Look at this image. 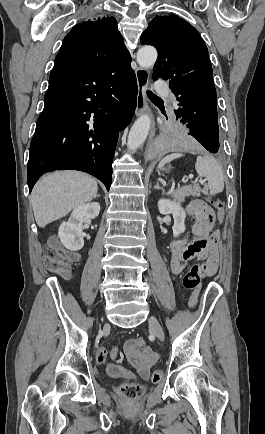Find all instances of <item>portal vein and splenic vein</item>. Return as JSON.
Segmentation results:
<instances>
[{"label":"portal vein and splenic vein","instance_id":"obj_1","mask_svg":"<svg viewBox=\"0 0 265 434\" xmlns=\"http://www.w3.org/2000/svg\"><path fill=\"white\" fill-rule=\"evenodd\" d=\"M189 178L192 180V178H194L193 174H190ZM195 182H201V184H204L205 180H195Z\"/></svg>","mask_w":265,"mask_h":434}]
</instances>
